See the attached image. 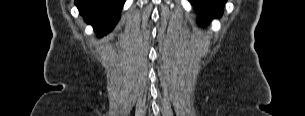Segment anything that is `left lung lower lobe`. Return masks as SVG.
I'll return each instance as SVG.
<instances>
[{"mask_svg": "<svg viewBox=\"0 0 305 116\" xmlns=\"http://www.w3.org/2000/svg\"><path fill=\"white\" fill-rule=\"evenodd\" d=\"M195 9L202 15L200 21L207 23L212 18H219L223 13L226 0H190Z\"/></svg>", "mask_w": 305, "mask_h": 116, "instance_id": "left-lung-lower-lobe-1", "label": "left lung lower lobe"}]
</instances>
